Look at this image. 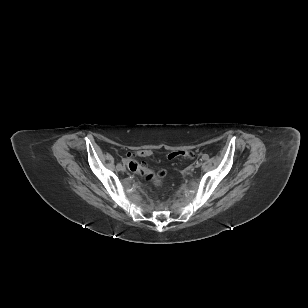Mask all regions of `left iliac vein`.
<instances>
[{
	"label": "left iliac vein",
	"instance_id": "4c4485c4",
	"mask_svg": "<svg viewBox=\"0 0 308 308\" xmlns=\"http://www.w3.org/2000/svg\"><path fill=\"white\" fill-rule=\"evenodd\" d=\"M200 165H201L200 162L195 163V167H196V168L200 167Z\"/></svg>",
	"mask_w": 308,
	"mask_h": 308
}]
</instances>
